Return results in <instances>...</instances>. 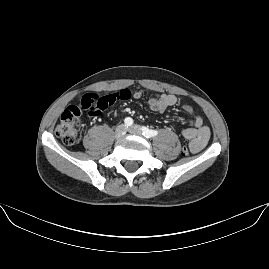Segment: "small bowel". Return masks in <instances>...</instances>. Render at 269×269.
I'll list each match as a JSON object with an SVG mask.
<instances>
[{
  "mask_svg": "<svg viewBox=\"0 0 269 269\" xmlns=\"http://www.w3.org/2000/svg\"><path fill=\"white\" fill-rule=\"evenodd\" d=\"M143 95V91H135L131 94L134 99H139ZM178 98L174 94H155L153 95L148 106L156 112H164L169 107L176 105ZM185 111L192 114L190 106L184 107ZM116 115V113H114ZM179 133L186 139L190 140L189 147L192 153L202 151L210 138V129L204 125L203 118L200 115H192L189 120V126L179 130Z\"/></svg>",
  "mask_w": 269,
  "mask_h": 269,
  "instance_id": "c3829d8e",
  "label": "small bowel"
}]
</instances>
